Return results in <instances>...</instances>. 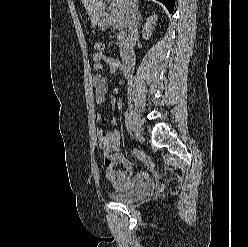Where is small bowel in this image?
I'll return each instance as SVG.
<instances>
[{"label":"small bowel","mask_w":248,"mask_h":247,"mask_svg":"<svg viewBox=\"0 0 248 247\" xmlns=\"http://www.w3.org/2000/svg\"><path fill=\"white\" fill-rule=\"evenodd\" d=\"M94 69L99 71L103 68L105 63L111 73H117L122 70L120 63L112 56L107 54L97 55L94 54ZM94 97L97 106L104 105L108 100L111 103L115 102L114 95L109 94L108 85L105 78L96 74L93 77ZM117 90H115V93ZM96 121H101L102 115L97 113L95 116ZM116 119H111L110 124H115ZM99 138V146L103 150L104 165L106 167V177L113 184L114 187L119 189L131 188L137 184H141L148 179L146 171H140L134 174V169L130 161H128L120 153L121 135L117 132L107 131L102 127L97 129ZM117 163L123 164L124 171H117L115 165Z\"/></svg>","instance_id":"obj_1"}]
</instances>
